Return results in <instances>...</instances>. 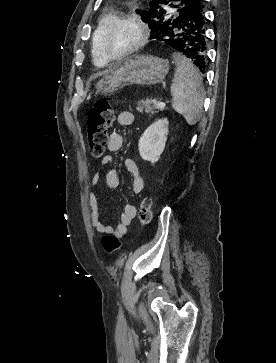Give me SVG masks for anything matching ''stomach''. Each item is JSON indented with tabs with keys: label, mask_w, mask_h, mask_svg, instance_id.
<instances>
[{
	"label": "stomach",
	"mask_w": 276,
	"mask_h": 363,
	"mask_svg": "<svg viewBox=\"0 0 276 363\" xmlns=\"http://www.w3.org/2000/svg\"><path fill=\"white\" fill-rule=\"evenodd\" d=\"M169 72L167 60L153 56H135L116 65L96 84V93L108 96L128 85H155Z\"/></svg>",
	"instance_id": "stomach-1"
}]
</instances>
